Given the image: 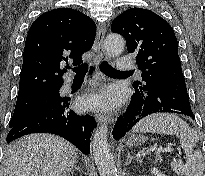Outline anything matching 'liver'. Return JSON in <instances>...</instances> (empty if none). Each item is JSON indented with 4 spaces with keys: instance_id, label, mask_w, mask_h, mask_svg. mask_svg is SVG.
I'll return each instance as SVG.
<instances>
[{
    "instance_id": "obj_1",
    "label": "liver",
    "mask_w": 205,
    "mask_h": 176,
    "mask_svg": "<svg viewBox=\"0 0 205 176\" xmlns=\"http://www.w3.org/2000/svg\"><path fill=\"white\" fill-rule=\"evenodd\" d=\"M78 149L47 133L26 135L6 150L4 176H69L77 162Z\"/></svg>"
}]
</instances>
